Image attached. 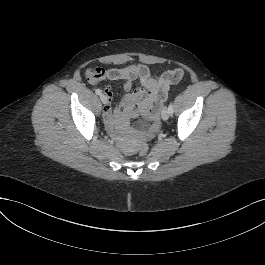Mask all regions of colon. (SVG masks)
I'll list each match as a JSON object with an SVG mask.
<instances>
[{
    "mask_svg": "<svg viewBox=\"0 0 265 265\" xmlns=\"http://www.w3.org/2000/svg\"><path fill=\"white\" fill-rule=\"evenodd\" d=\"M103 76L104 71L102 68L99 67L91 68L86 72V78L90 82L101 80ZM138 152L140 155L145 156L148 153V145L145 143L140 144L138 146Z\"/></svg>",
    "mask_w": 265,
    "mask_h": 265,
    "instance_id": "1",
    "label": "colon"
}]
</instances>
